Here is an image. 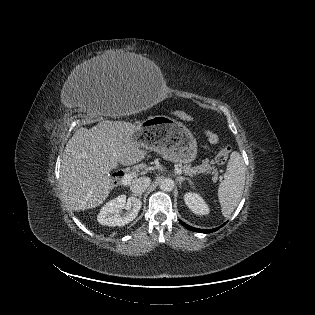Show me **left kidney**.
<instances>
[{
	"label": "left kidney",
	"instance_id": "obj_1",
	"mask_svg": "<svg viewBox=\"0 0 315 315\" xmlns=\"http://www.w3.org/2000/svg\"><path fill=\"white\" fill-rule=\"evenodd\" d=\"M184 201L193 213L197 215L209 214V207L199 194L188 192L184 195Z\"/></svg>",
	"mask_w": 315,
	"mask_h": 315
}]
</instances>
